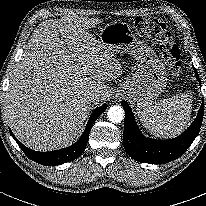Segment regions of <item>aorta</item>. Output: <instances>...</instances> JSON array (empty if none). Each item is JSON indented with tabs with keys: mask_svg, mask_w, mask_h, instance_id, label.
Listing matches in <instances>:
<instances>
[{
	"mask_svg": "<svg viewBox=\"0 0 206 206\" xmlns=\"http://www.w3.org/2000/svg\"><path fill=\"white\" fill-rule=\"evenodd\" d=\"M107 117L113 123H120L124 119V109L119 105H114L108 110Z\"/></svg>",
	"mask_w": 206,
	"mask_h": 206,
	"instance_id": "obj_1",
	"label": "aorta"
}]
</instances>
